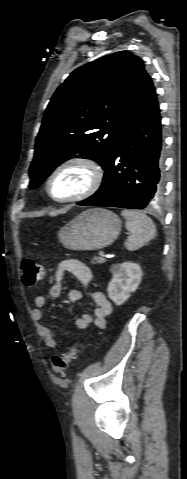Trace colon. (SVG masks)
<instances>
[{
    "mask_svg": "<svg viewBox=\"0 0 187 479\" xmlns=\"http://www.w3.org/2000/svg\"><path fill=\"white\" fill-rule=\"evenodd\" d=\"M23 282L27 286H33L45 276V266L33 259H25L22 262ZM81 342L77 340L65 352L58 353L51 358L50 364L53 372L65 376L70 364L80 356Z\"/></svg>",
    "mask_w": 187,
    "mask_h": 479,
    "instance_id": "obj_1",
    "label": "colon"
}]
</instances>
